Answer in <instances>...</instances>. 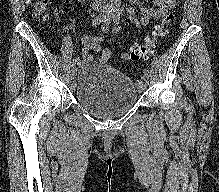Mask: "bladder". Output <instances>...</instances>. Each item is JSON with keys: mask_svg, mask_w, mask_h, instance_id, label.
Here are the masks:
<instances>
[{"mask_svg": "<svg viewBox=\"0 0 219 192\" xmlns=\"http://www.w3.org/2000/svg\"><path fill=\"white\" fill-rule=\"evenodd\" d=\"M74 98L92 116L115 119L138 102V87L112 65L91 62L81 68Z\"/></svg>", "mask_w": 219, "mask_h": 192, "instance_id": "1", "label": "bladder"}]
</instances>
